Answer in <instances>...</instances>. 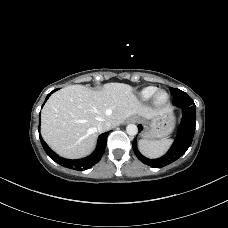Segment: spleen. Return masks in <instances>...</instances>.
Masks as SVG:
<instances>
[{"label": "spleen", "instance_id": "3e777b00", "mask_svg": "<svg viewBox=\"0 0 228 228\" xmlns=\"http://www.w3.org/2000/svg\"><path fill=\"white\" fill-rule=\"evenodd\" d=\"M171 143H172V139H163V140L141 139L138 142V147L141 153L146 157L158 158L168 150Z\"/></svg>", "mask_w": 228, "mask_h": 228}]
</instances>
